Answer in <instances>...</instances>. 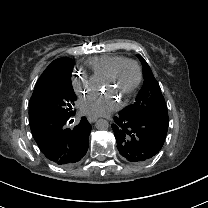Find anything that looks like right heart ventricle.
Wrapping results in <instances>:
<instances>
[{"label": "right heart ventricle", "mask_w": 208, "mask_h": 208, "mask_svg": "<svg viewBox=\"0 0 208 208\" xmlns=\"http://www.w3.org/2000/svg\"><path fill=\"white\" fill-rule=\"evenodd\" d=\"M121 59L122 57L115 55H102L89 59L87 61V65L92 71V79L100 81L112 70L115 64Z\"/></svg>", "instance_id": "e07e8e85"}]
</instances>
